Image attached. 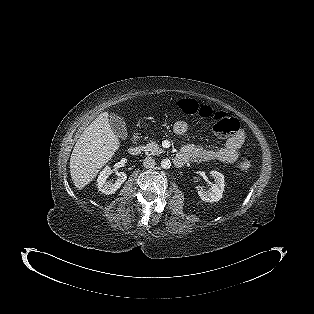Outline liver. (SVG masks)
I'll return each mask as SVG.
<instances>
[{"label":"liver","instance_id":"obj_1","mask_svg":"<svg viewBox=\"0 0 314 314\" xmlns=\"http://www.w3.org/2000/svg\"><path fill=\"white\" fill-rule=\"evenodd\" d=\"M108 116L107 112H103L91 122L73 148L70 175L74 185L80 190L96 177L120 147Z\"/></svg>","mask_w":314,"mask_h":314}]
</instances>
